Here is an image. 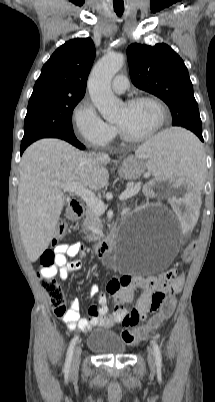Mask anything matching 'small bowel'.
<instances>
[{
    "label": "small bowel",
    "mask_w": 215,
    "mask_h": 402,
    "mask_svg": "<svg viewBox=\"0 0 215 402\" xmlns=\"http://www.w3.org/2000/svg\"><path fill=\"white\" fill-rule=\"evenodd\" d=\"M83 253V246L80 242L61 243L55 247V264L50 268H42L40 273L43 277H54L58 275L65 280L72 272L81 268V261L75 257ZM70 258V260H68ZM183 284L182 276H174L166 279L159 275L157 277H143L138 275H124L112 279L106 286L105 292H100L97 285L93 284L90 288V295H98V306L89 308V318L80 317V303L77 299L71 301V307L62 316V320L71 331L88 332L94 326L112 327L115 324L133 326L140 319H143L151 311L152 298L155 293L165 296L166 293L176 294L180 291ZM137 290L142 293L134 307L126 309L125 304L134 300ZM112 296L115 302V309L109 315L108 297ZM138 318L134 319V314Z\"/></svg>",
    "instance_id": "c3829d8e"
}]
</instances>
